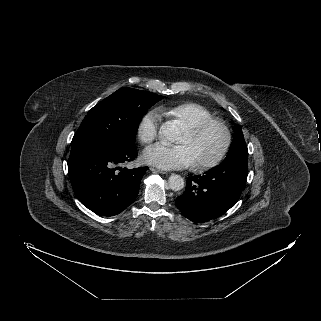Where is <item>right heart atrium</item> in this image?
Masks as SVG:
<instances>
[{"label": "right heart atrium", "instance_id": "obj_1", "mask_svg": "<svg viewBox=\"0 0 321 321\" xmlns=\"http://www.w3.org/2000/svg\"><path fill=\"white\" fill-rule=\"evenodd\" d=\"M158 120L159 112L157 110H151L141 118L137 128V135L143 143H150L157 138L159 131Z\"/></svg>", "mask_w": 321, "mask_h": 321}]
</instances>
